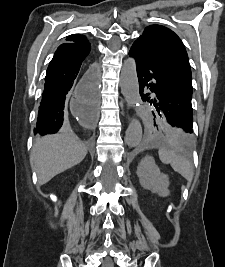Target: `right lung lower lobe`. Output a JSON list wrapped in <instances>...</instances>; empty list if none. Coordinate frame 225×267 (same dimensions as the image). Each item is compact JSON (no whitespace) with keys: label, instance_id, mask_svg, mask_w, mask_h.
I'll return each instance as SVG.
<instances>
[{"label":"right lung lower lobe","instance_id":"1","mask_svg":"<svg viewBox=\"0 0 225 267\" xmlns=\"http://www.w3.org/2000/svg\"><path fill=\"white\" fill-rule=\"evenodd\" d=\"M90 49L89 42H67L57 48L47 68L34 134L44 136L64 129L65 100L76 84L78 74L86 62ZM94 96L95 82L92 81L88 97L93 99Z\"/></svg>","mask_w":225,"mask_h":267}]
</instances>
